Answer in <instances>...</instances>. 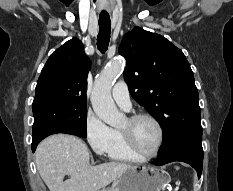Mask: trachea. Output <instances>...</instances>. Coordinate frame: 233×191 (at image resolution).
Listing matches in <instances>:
<instances>
[{
    "instance_id": "3493384b",
    "label": "trachea",
    "mask_w": 233,
    "mask_h": 191,
    "mask_svg": "<svg viewBox=\"0 0 233 191\" xmlns=\"http://www.w3.org/2000/svg\"><path fill=\"white\" fill-rule=\"evenodd\" d=\"M99 34L97 38L98 49L104 53L106 52L111 34V22L108 14H100L99 16Z\"/></svg>"
}]
</instances>
